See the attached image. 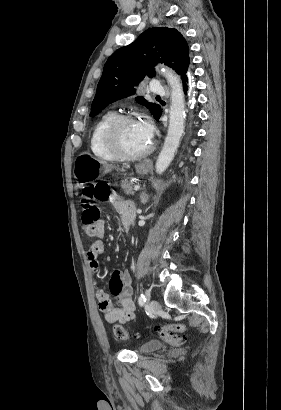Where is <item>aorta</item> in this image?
<instances>
[{
  "label": "aorta",
  "instance_id": "obj_1",
  "mask_svg": "<svg viewBox=\"0 0 281 410\" xmlns=\"http://www.w3.org/2000/svg\"><path fill=\"white\" fill-rule=\"evenodd\" d=\"M158 71L167 79L171 88L168 133L155 164L157 174H162L172 162L184 133L185 99L179 77L167 67H161Z\"/></svg>",
  "mask_w": 281,
  "mask_h": 410
}]
</instances>
